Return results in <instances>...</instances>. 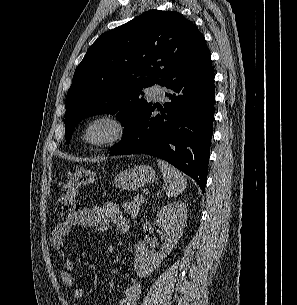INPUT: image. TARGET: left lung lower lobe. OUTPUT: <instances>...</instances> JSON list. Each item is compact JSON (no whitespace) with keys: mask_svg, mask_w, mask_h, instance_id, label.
<instances>
[{"mask_svg":"<svg viewBox=\"0 0 297 305\" xmlns=\"http://www.w3.org/2000/svg\"><path fill=\"white\" fill-rule=\"evenodd\" d=\"M214 67L174 75L162 86L170 102H150L111 155L143 153L164 159L192 177L205 191L214 119ZM159 114L152 116L154 111Z\"/></svg>","mask_w":297,"mask_h":305,"instance_id":"left-lung-lower-lobe-1","label":"left lung lower lobe"}]
</instances>
